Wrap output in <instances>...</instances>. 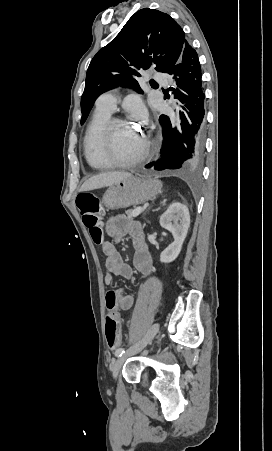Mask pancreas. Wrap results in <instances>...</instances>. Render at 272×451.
Wrapping results in <instances>:
<instances>
[{
  "instance_id": "cf45deb5",
  "label": "pancreas",
  "mask_w": 272,
  "mask_h": 451,
  "mask_svg": "<svg viewBox=\"0 0 272 451\" xmlns=\"http://www.w3.org/2000/svg\"><path fill=\"white\" fill-rule=\"evenodd\" d=\"M133 212L134 210H126L125 214H127V218H131V220H133Z\"/></svg>"
}]
</instances>
